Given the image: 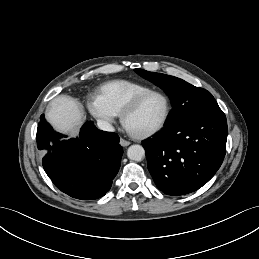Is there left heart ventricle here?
I'll list each match as a JSON object with an SVG mask.
<instances>
[{"label": "left heart ventricle", "instance_id": "1", "mask_svg": "<svg viewBox=\"0 0 259 259\" xmlns=\"http://www.w3.org/2000/svg\"><path fill=\"white\" fill-rule=\"evenodd\" d=\"M166 110L161 95L147 97L125 120L126 128L135 134L145 133L156 127L163 119Z\"/></svg>", "mask_w": 259, "mask_h": 259}]
</instances>
